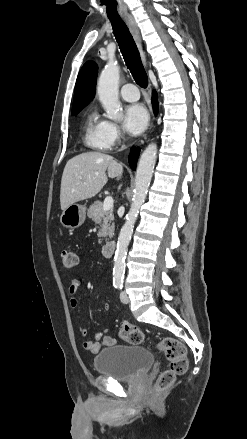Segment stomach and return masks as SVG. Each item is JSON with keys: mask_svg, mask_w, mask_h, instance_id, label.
Returning <instances> with one entry per match:
<instances>
[{"mask_svg": "<svg viewBox=\"0 0 247 439\" xmlns=\"http://www.w3.org/2000/svg\"><path fill=\"white\" fill-rule=\"evenodd\" d=\"M86 218V208L83 205L71 204L65 208L61 214V224L69 229L81 226Z\"/></svg>", "mask_w": 247, "mask_h": 439, "instance_id": "stomach-1", "label": "stomach"}]
</instances>
